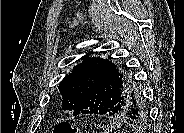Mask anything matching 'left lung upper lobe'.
Here are the masks:
<instances>
[{
  "instance_id": "1",
  "label": "left lung upper lobe",
  "mask_w": 184,
  "mask_h": 133,
  "mask_svg": "<svg viewBox=\"0 0 184 133\" xmlns=\"http://www.w3.org/2000/svg\"><path fill=\"white\" fill-rule=\"evenodd\" d=\"M81 59L83 60L82 63L76 65L72 72L66 75L58 86L62 95V107L64 110L74 111L75 108L88 96L93 87L95 73L98 69L100 58H89V54H86ZM105 60L109 61L108 59ZM109 62L111 66L117 70L118 74L126 81V83L130 78H132L127 67L114 64L111 61ZM136 85L138 86L137 82ZM88 97V101L95 100L96 94H92ZM132 111L137 116L136 124H144L147 119L148 112L147 104L143 95L138 98L136 105L132 107Z\"/></svg>"
}]
</instances>
